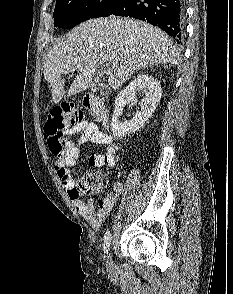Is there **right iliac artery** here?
Instances as JSON below:
<instances>
[{"mask_svg": "<svg viewBox=\"0 0 233 294\" xmlns=\"http://www.w3.org/2000/svg\"><path fill=\"white\" fill-rule=\"evenodd\" d=\"M110 241H111V233L109 230H107L104 236V252L105 253H108Z\"/></svg>", "mask_w": 233, "mask_h": 294, "instance_id": "1", "label": "right iliac artery"}]
</instances>
